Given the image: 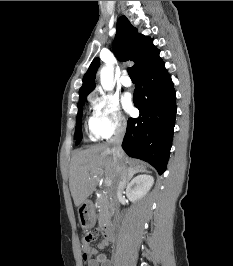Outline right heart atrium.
Here are the masks:
<instances>
[{
    "label": "right heart atrium",
    "instance_id": "obj_1",
    "mask_svg": "<svg viewBox=\"0 0 233 266\" xmlns=\"http://www.w3.org/2000/svg\"><path fill=\"white\" fill-rule=\"evenodd\" d=\"M126 128L119 100L112 94L99 93L93 99V116L89 129L95 138H109Z\"/></svg>",
    "mask_w": 233,
    "mask_h": 266
}]
</instances>
